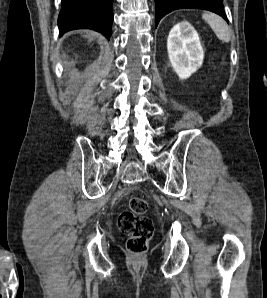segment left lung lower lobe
<instances>
[{
  "label": "left lung lower lobe",
  "mask_w": 267,
  "mask_h": 298,
  "mask_svg": "<svg viewBox=\"0 0 267 298\" xmlns=\"http://www.w3.org/2000/svg\"><path fill=\"white\" fill-rule=\"evenodd\" d=\"M156 4V16L155 26L162 17L171 11L177 9H203L214 12L222 16L226 21V15H224L223 0H155Z\"/></svg>",
  "instance_id": "obj_1"
}]
</instances>
